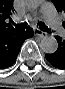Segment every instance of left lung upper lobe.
I'll list each match as a JSON object with an SVG mask.
<instances>
[{"instance_id":"obj_1","label":"left lung upper lobe","mask_w":65,"mask_h":89,"mask_svg":"<svg viewBox=\"0 0 65 89\" xmlns=\"http://www.w3.org/2000/svg\"><path fill=\"white\" fill-rule=\"evenodd\" d=\"M52 2L55 4L58 11H64L65 12V0H52ZM64 28H65V22H63Z\"/></svg>"}]
</instances>
